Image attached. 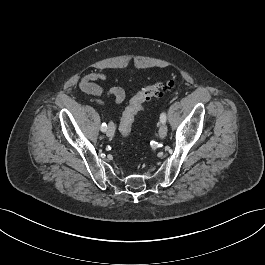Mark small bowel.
<instances>
[{"mask_svg": "<svg viewBox=\"0 0 265 265\" xmlns=\"http://www.w3.org/2000/svg\"><path fill=\"white\" fill-rule=\"evenodd\" d=\"M107 79L108 76L103 72H89L81 78L79 88L88 94L97 104H102L103 97H113L116 104H121L126 97V93L123 88L115 86L109 88L108 90H104L97 84L98 81H106Z\"/></svg>", "mask_w": 265, "mask_h": 265, "instance_id": "c3829d8e", "label": "small bowel"}]
</instances>
